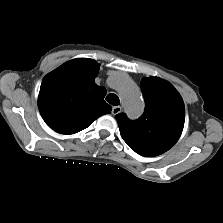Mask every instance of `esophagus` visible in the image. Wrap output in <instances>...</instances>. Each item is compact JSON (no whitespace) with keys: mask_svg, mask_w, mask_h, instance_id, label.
I'll return each instance as SVG.
<instances>
[{"mask_svg":"<svg viewBox=\"0 0 223 223\" xmlns=\"http://www.w3.org/2000/svg\"><path fill=\"white\" fill-rule=\"evenodd\" d=\"M121 110H122V108L120 106H114L112 108V114L113 115H117V114H119L121 112Z\"/></svg>","mask_w":223,"mask_h":223,"instance_id":"esophagus-1","label":"esophagus"}]
</instances>
